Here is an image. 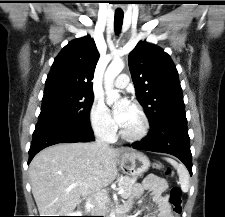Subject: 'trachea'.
<instances>
[{
	"label": "trachea",
	"instance_id": "obj_1",
	"mask_svg": "<svg viewBox=\"0 0 225 217\" xmlns=\"http://www.w3.org/2000/svg\"><path fill=\"white\" fill-rule=\"evenodd\" d=\"M123 24V13H115L114 28L116 34H119Z\"/></svg>",
	"mask_w": 225,
	"mask_h": 217
}]
</instances>
